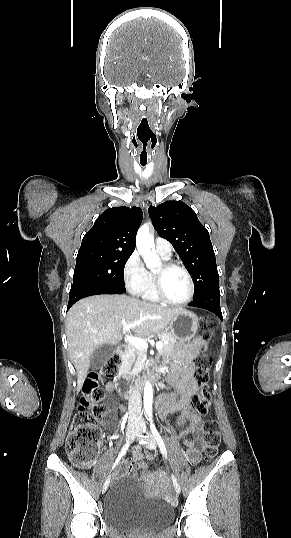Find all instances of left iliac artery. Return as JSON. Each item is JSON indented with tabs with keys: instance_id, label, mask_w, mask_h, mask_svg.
I'll return each instance as SVG.
<instances>
[{
	"instance_id": "44dca946",
	"label": "left iliac artery",
	"mask_w": 291,
	"mask_h": 538,
	"mask_svg": "<svg viewBox=\"0 0 291 538\" xmlns=\"http://www.w3.org/2000/svg\"><path fill=\"white\" fill-rule=\"evenodd\" d=\"M149 420H150V428H151V431H152V434L155 438V440L157 441L158 443V446L160 448V451L161 453L167 458V450H166V446L164 444V441L162 439V437L160 436L158 430L156 429L154 423H153V420H152V414L150 413L149 414Z\"/></svg>"
}]
</instances>
